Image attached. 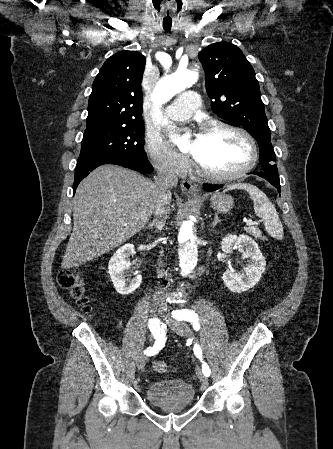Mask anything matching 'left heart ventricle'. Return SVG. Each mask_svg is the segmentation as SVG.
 Instances as JSON below:
<instances>
[{
	"label": "left heart ventricle",
	"mask_w": 333,
	"mask_h": 449,
	"mask_svg": "<svg viewBox=\"0 0 333 449\" xmlns=\"http://www.w3.org/2000/svg\"><path fill=\"white\" fill-rule=\"evenodd\" d=\"M189 151L206 169L219 174L242 168L250 157L246 141L227 131L203 132Z\"/></svg>",
	"instance_id": "obj_1"
}]
</instances>
